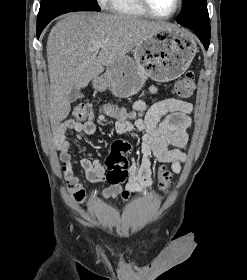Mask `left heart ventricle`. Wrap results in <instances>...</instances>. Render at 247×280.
<instances>
[{
  "label": "left heart ventricle",
  "mask_w": 247,
  "mask_h": 280,
  "mask_svg": "<svg viewBox=\"0 0 247 280\" xmlns=\"http://www.w3.org/2000/svg\"><path fill=\"white\" fill-rule=\"evenodd\" d=\"M151 8L160 15H167L173 11L176 0H148Z\"/></svg>",
  "instance_id": "left-heart-ventricle-1"
}]
</instances>
